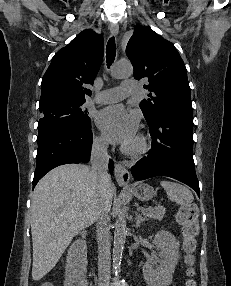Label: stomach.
<instances>
[{
    "instance_id": "1",
    "label": "stomach",
    "mask_w": 231,
    "mask_h": 286,
    "mask_svg": "<svg viewBox=\"0 0 231 286\" xmlns=\"http://www.w3.org/2000/svg\"><path fill=\"white\" fill-rule=\"evenodd\" d=\"M132 193L140 201H148L155 195L153 187L145 183L134 187Z\"/></svg>"
}]
</instances>
